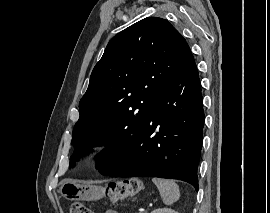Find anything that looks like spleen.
I'll list each match as a JSON object with an SVG mask.
<instances>
[{"label": "spleen", "mask_w": 270, "mask_h": 213, "mask_svg": "<svg viewBox=\"0 0 270 213\" xmlns=\"http://www.w3.org/2000/svg\"><path fill=\"white\" fill-rule=\"evenodd\" d=\"M152 182L157 186L164 204L171 205L179 199V187L173 180L153 178Z\"/></svg>", "instance_id": "obj_1"}]
</instances>
